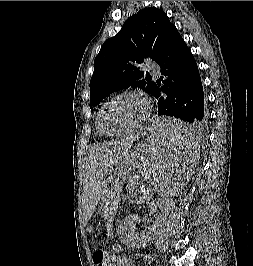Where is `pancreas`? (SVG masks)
I'll return each instance as SVG.
<instances>
[{"label":"pancreas","mask_w":253,"mask_h":266,"mask_svg":"<svg viewBox=\"0 0 253 266\" xmlns=\"http://www.w3.org/2000/svg\"><path fill=\"white\" fill-rule=\"evenodd\" d=\"M140 200H141V201H142V200H145V198H144V197H143V198L140 197Z\"/></svg>","instance_id":"1"}]
</instances>
